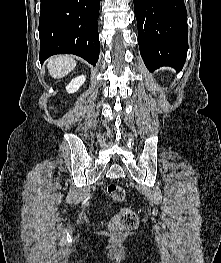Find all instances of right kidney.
Segmentation results:
<instances>
[{
  "mask_svg": "<svg viewBox=\"0 0 221 263\" xmlns=\"http://www.w3.org/2000/svg\"><path fill=\"white\" fill-rule=\"evenodd\" d=\"M86 77L84 75H80L75 77L70 81V83L66 86V91L68 93H75L78 89L84 84Z\"/></svg>",
  "mask_w": 221,
  "mask_h": 263,
  "instance_id": "1",
  "label": "right kidney"
}]
</instances>
